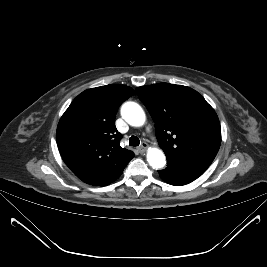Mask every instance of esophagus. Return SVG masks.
<instances>
[{
  "label": "esophagus",
  "instance_id": "esophagus-1",
  "mask_svg": "<svg viewBox=\"0 0 267 267\" xmlns=\"http://www.w3.org/2000/svg\"><path fill=\"white\" fill-rule=\"evenodd\" d=\"M147 147H148V145H147V143H142V145L138 148V151L140 152V153H143V152H145V150L147 149Z\"/></svg>",
  "mask_w": 267,
  "mask_h": 267
}]
</instances>
